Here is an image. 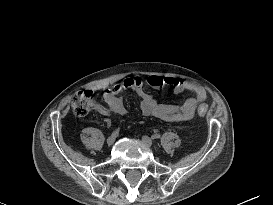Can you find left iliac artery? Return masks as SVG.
Returning a JSON list of instances; mask_svg holds the SVG:
<instances>
[{
    "mask_svg": "<svg viewBox=\"0 0 273 205\" xmlns=\"http://www.w3.org/2000/svg\"><path fill=\"white\" fill-rule=\"evenodd\" d=\"M160 138V135L159 134H153L152 135V139H159Z\"/></svg>",
    "mask_w": 273,
    "mask_h": 205,
    "instance_id": "44dca946",
    "label": "left iliac artery"
}]
</instances>
